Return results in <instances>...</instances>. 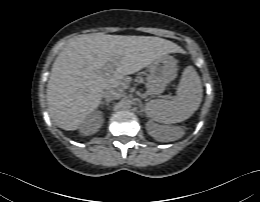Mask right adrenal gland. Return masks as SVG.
<instances>
[{
  "instance_id": "1",
  "label": "right adrenal gland",
  "mask_w": 260,
  "mask_h": 202,
  "mask_svg": "<svg viewBox=\"0 0 260 202\" xmlns=\"http://www.w3.org/2000/svg\"><path fill=\"white\" fill-rule=\"evenodd\" d=\"M109 103H110V100H105L101 104H102V107H103L104 105L109 106Z\"/></svg>"
}]
</instances>
